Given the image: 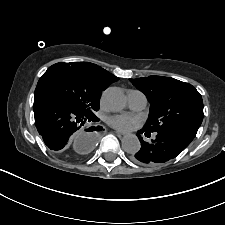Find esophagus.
I'll list each match as a JSON object with an SVG mask.
<instances>
[{"instance_id": "34e87169", "label": "esophagus", "mask_w": 225, "mask_h": 225, "mask_svg": "<svg viewBox=\"0 0 225 225\" xmlns=\"http://www.w3.org/2000/svg\"><path fill=\"white\" fill-rule=\"evenodd\" d=\"M116 133H117L119 136H124V135H125V133H124V132L119 131V130H117V131H116Z\"/></svg>"}]
</instances>
